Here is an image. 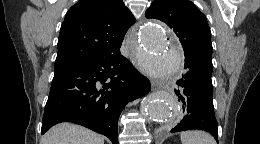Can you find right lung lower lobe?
Here are the masks:
<instances>
[{"mask_svg":"<svg viewBox=\"0 0 260 144\" xmlns=\"http://www.w3.org/2000/svg\"><path fill=\"white\" fill-rule=\"evenodd\" d=\"M149 91V80L120 51L55 70L41 132L73 122L118 144L121 111Z\"/></svg>","mask_w":260,"mask_h":144,"instance_id":"obj_1","label":"right lung lower lobe"}]
</instances>
